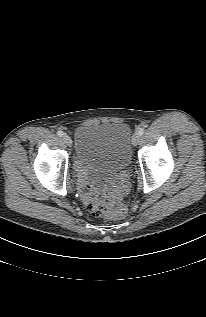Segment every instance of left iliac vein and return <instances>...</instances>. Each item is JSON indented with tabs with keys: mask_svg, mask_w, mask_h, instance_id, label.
<instances>
[{
	"mask_svg": "<svg viewBox=\"0 0 206 317\" xmlns=\"http://www.w3.org/2000/svg\"><path fill=\"white\" fill-rule=\"evenodd\" d=\"M140 141V134L139 133H135L132 137V144L134 146H136Z\"/></svg>",
	"mask_w": 206,
	"mask_h": 317,
	"instance_id": "obj_1",
	"label": "left iliac vein"
}]
</instances>
